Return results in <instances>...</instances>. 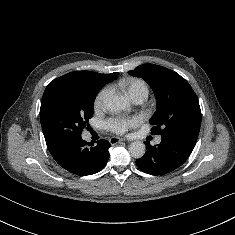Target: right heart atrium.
Here are the masks:
<instances>
[{"label":"right heart atrium","instance_id":"right-heart-atrium-1","mask_svg":"<svg viewBox=\"0 0 235 235\" xmlns=\"http://www.w3.org/2000/svg\"><path fill=\"white\" fill-rule=\"evenodd\" d=\"M108 93H109L108 87H104L98 92L94 100V107L96 109L101 108L103 106Z\"/></svg>","mask_w":235,"mask_h":235}]
</instances>
